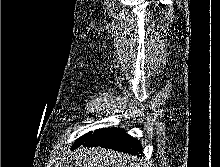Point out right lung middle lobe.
<instances>
[{
	"label": "right lung middle lobe",
	"mask_w": 220,
	"mask_h": 167,
	"mask_svg": "<svg viewBox=\"0 0 220 167\" xmlns=\"http://www.w3.org/2000/svg\"><path fill=\"white\" fill-rule=\"evenodd\" d=\"M91 133H92V132H89V133L83 135L82 137H80V138L76 141L75 145H74L71 149L73 150V149L79 147L80 145H82V144L89 138V136L91 135Z\"/></svg>",
	"instance_id": "1"
}]
</instances>
